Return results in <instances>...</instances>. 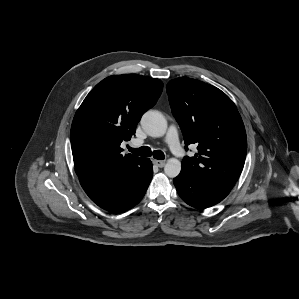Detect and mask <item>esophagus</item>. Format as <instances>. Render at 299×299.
Returning <instances> with one entry per match:
<instances>
[{
  "label": "esophagus",
  "mask_w": 299,
  "mask_h": 299,
  "mask_svg": "<svg viewBox=\"0 0 299 299\" xmlns=\"http://www.w3.org/2000/svg\"><path fill=\"white\" fill-rule=\"evenodd\" d=\"M153 163L159 168H162L165 165V161H161V160H153Z\"/></svg>",
  "instance_id": "1"
}]
</instances>
